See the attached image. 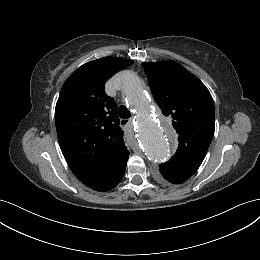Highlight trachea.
I'll use <instances>...</instances> for the list:
<instances>
[{
  "instance_id": "trachea-1",
  "label": "trachea",
  "mask_w": 260,
  "mask_h": 260,
  "mask_svg": "<svg viewBox=\"0 0 260 260\" xmlns=\"http://www.w3.org/2000/svg\"><path fill=\"white\" fill-rule=\"evenodd\" d=\"M118 113L119 116L124 119L129 118L131 116L130 111L124 105L119 106Z\"/></svg>"
}]
</instances>
